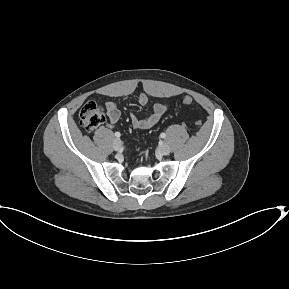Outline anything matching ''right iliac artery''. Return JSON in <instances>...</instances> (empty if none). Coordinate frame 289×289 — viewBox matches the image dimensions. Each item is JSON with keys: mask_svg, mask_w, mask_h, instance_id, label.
<instances>
[{"mask_svg": "<svg viewBox=\"0 0 289 289\" xmlns=\"http://www.w3.org/2000/svg\"><path fill=\"white\" fill-rule=\"evenodd\" d=\"M115 136H116L117 138H119V137L121 136V134H120L119 132H115Z\"/></svg>", "mask_w": 289, "mask_h": 289, "instance_id": "right-iliac-artery-1", "label": "right iliac artery"}]
</instances>
